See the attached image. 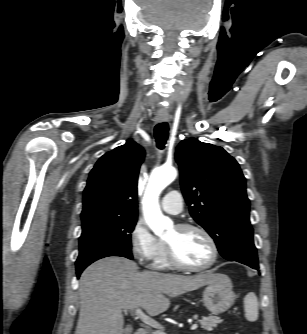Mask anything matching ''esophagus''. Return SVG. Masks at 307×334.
Segmentation results:
<instances>
[{
	"instance_id": "34e87169",
	"label": "esophagus",
	"mask_w": 307,
	"mask_h": 334,
	"mask_svg": "<svg viewBox=\"0 0 307 334\" xmlns=\"http://www.w3.org/2000/svg\"><path fill=\"white\" fill-rule=\"evenodd\" d=\"M169 116L168 115H157L156 116V121L161 123V122H166L168 121Z\"/></svg>"
}]
</instances>
